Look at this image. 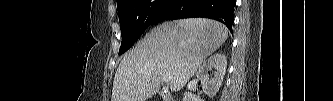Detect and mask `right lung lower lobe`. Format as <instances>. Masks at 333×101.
I'll list each match as a JSON object with an SVG mask.
<instances>
[{
    "label": "right lung lower lobe",
    "instance_id": "obj_1",
    "mask_svg": "<svg viewBox=\"0 0 333 101\" xmlns=\"http://www.w3.org/2000/svg\"><path fill=\"white\" fill-rule=\"evenodd\" d=\"M235 4L236 0H168L157 23L169 19L206 17L222 22L232 31Z\"/></svg>",
    "mask_w": 333,
    "mask_h": 101
}]
</instances>
